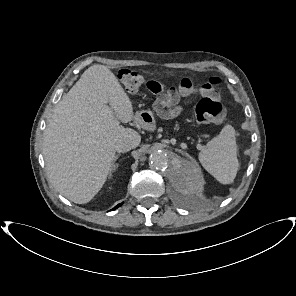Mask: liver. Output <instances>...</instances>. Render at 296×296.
Here are the masks:
<instances>
[{"instance_id":"6515ba94","label":"liver","mask_w":296,"mask_h":296,"mask_svg":"<svg viewBox=\"0 0 296 296\" xmlns=\"http://www.w3.org/2000/svg\"><path fill=\"white\" fill-rule=\"evenodd\" d=\"M134 118L113 72L100 64L89 67L57 104L44 133L43 155L54 188L74 203L91 201L112 169L115 144L126 139L139 145L138 132L115 122Z\"/></svg>"}]
</instances>
